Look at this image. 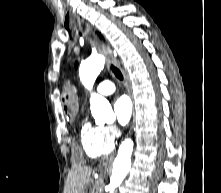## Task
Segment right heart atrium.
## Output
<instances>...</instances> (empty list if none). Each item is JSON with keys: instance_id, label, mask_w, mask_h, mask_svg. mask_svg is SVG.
<instances>
[{"instance_id": "obj_1", "label": "right heart atrium", "mask_w": 221, "mask_h": 193, "mask_svg": "<svg viewBox=\"0 0 221 193\" xmlns=\"http://www.w3.org/2000/svg\"><path fill=\"white\" fill-rule=\"evenodd\" d=\"M104 133L106 138L109 141H114V139H116L118 132H117V128L113 125H108L104 127Z\"/></svg>"}]
</instances>
